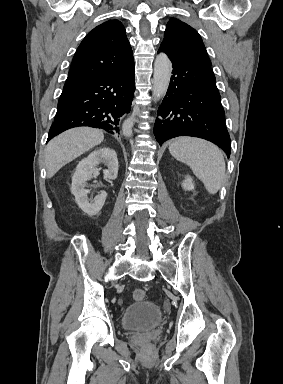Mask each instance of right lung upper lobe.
Masks as SVG:
<instances>
[{
  "instance_id": "1",
  "label": "right lung upper lobe",
  "mask_w": 283,
  "mask_h": 384,
  "mask_svg": "<svg viewBox=\"0 0 283 384\" xmlns=\"http://www.w3.org/2000/svg\"><path fill=\"white\" fill-rule=\"evenodd\" d=\"M134 66L125 28L118 20L107 21L83 39L72 60L63 91L89 79L126 71Z\"/></svg>"
}]
</instances>
